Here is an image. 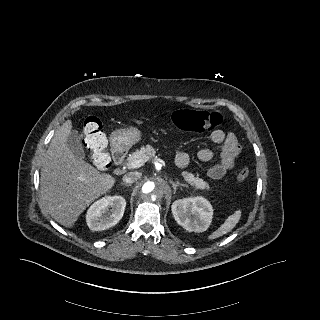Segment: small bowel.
Masks as SVG:
<instances>
[{
    "instance_id": "c3829d8e",
    "label": "small bowel",
    "mask_w": 320,
    "mask_h": 320,
    "mask_svg": "<svg viewBox=\"0 0 320 320\" xmlns=\"http://www.w3.org/2000/svg\"><path fill=\"white\" fill-rule=\"evenodd\" d=\"M210 139L213 143L221 145L219 161L208 169V176L218 180L234 168L235 161L241 152V146L234 133H226L220 129L214 130ZM197 156L203 162H210L214 158V152L211 149L204 148L198 151ZM175 160L179 167L184 168L189 164L190 157L186 152H179Z\"/></svg>"
}]
</instances>
